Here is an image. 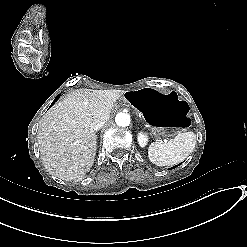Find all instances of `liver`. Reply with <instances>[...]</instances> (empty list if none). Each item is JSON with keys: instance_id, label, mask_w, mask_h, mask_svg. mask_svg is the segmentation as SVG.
<instances>
[{"instance_id": "1", "label": "liver", "mask_w": 247, "mask_h": 247, "mask_svg": "<svg viewBox=\"0 0 247 247\" xmlns=\"http://www.w3.org/2000/svg\"><path fill=\"white\" fill-rule=\"evenodd\" d=\"M115 100L106 91L76 89L43 115L37 138L42 163L51 175L82 180L90 171L97 150L93 125L109 120Z\"/></svg>"}]
</instances>
